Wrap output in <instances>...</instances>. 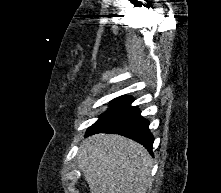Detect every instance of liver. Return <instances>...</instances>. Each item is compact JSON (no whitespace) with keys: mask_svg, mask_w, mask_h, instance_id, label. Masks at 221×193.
Listing matches in <instances>:
<instances>
[{"mask_svg":"<svg viewBox=\"0 0 221 193\" xmlns=\"http://www.w3.org/2000/svg\"><path fill=\"white\" fill-rule=\"evenodd\" d=\"M78 163L91 193H146L152 159L139 143L117 134H96L80 146Z\"/></svg>","mask_w":221,"mask_h":193,"instance_id":"1","label":"liver"}]
</instances>
